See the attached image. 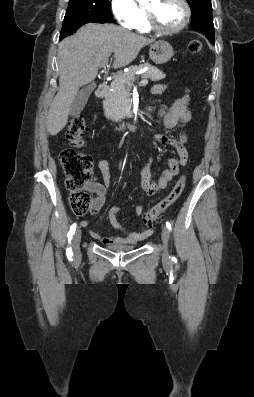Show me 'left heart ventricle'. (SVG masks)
<instances>
[{
	"label": "left heart ventricle",
	"instance_id": "b2bd125f",
	"mask_svg": "<svg viewBox=\"0 0 254 397\" xmlns=\"http://www.w3.org/2000/svg\"><path fill=\"white\" fill-rule=\"evenodd\" d=\"M147 9L153 12L157 24L162 28L178 26L184 16L183 7L177 0H151Z\"/></svg>",
	"mask_w": 254,
	"mask_h": 397
}]
</instances>
